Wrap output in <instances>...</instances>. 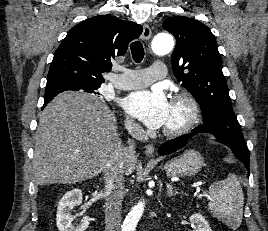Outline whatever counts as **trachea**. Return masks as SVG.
<instances>
[{
    "instance_id": "obj_1",
    "label": "trachea",
    "mask_w": 268,
    "mask_h": 231,
    "mask_svg": "<svg viewBox=\"0 0 268 231\" xmlns=\"http://www.w3.org/2000/svg\"><path fill=\"white\" fill-rule=\"evenodd\" d=\"M132 58L136 63H140L144 58V48L140 41H134L130 44Z\"/></svg>"
}]
</instances>
